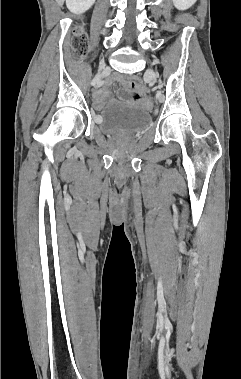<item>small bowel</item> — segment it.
I'll list each match as a JSON object with an SVG mask.
<instances>
[{
    "label": "small bowel",
    "mask_w": 241,
    "mask_h": 379,
    "mask_svg": "<svg viewBox=\"0 0 241 379\" xmlns=\"http://www.w3.org/2000/svg\"><path fill=\"white\" fill-rule=\"evenodd\" d=\"M112 80H109L102 88L97 90L94 94V105L96 109H101L104 107L106 103V97L109 94L108 87L111 84ZM122 85L125 89V94L123 96L124 100L136 103L141 102L142 103V93L134 91L136 88V84L132 81H121Z\"/></svg>",
    "instance_id": "1"
}]
</instances>
